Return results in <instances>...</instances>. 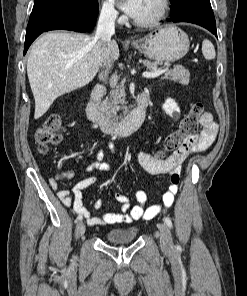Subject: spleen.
Instances as JSON below:
<instances>
[{
    "label": "spleen",
    "instance_id": "3e777b00",
    "mask_svg": "<svg viewBox=\"0 0 247 296\" xmlns=\"http://www.w3.org/2000/svg\"><path fill=\"white\" fill-rule=\"evenodd\" d=\"M202 53H203L204 57L208 60H212L216 56L215 48H214L213 44L208 39L203 40Z\"/></svg>",
    "mask_w": 247,
    "mask_h": 296
}]
</instances>
